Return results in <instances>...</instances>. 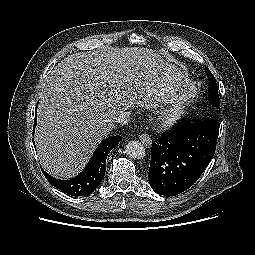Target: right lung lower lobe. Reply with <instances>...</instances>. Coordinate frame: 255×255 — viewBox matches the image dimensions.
Masks as SVG:
<instances>
[{"mask_svg":"<svg viewBox=\"0 0 255 255\" xmlns=\"http://www.w3.org/2000/svg\"><path fill=\"white\" fill-rule=\"evenodd\" d=\"M121 139V136H113L103 140L95 151L91 161L88 163V166L79 176L74 179L59 180L51 177L49 174L43 171L44 175L51 185L64 193L72 196H88L99 186L104 178L107 155L111 149L121 141Z\"/></svg>","mask_w":255,"mask_h":255,"instance_id":"right-lung-lower-lobe-1","label":"right lung lower lobe"}]
</instances>
